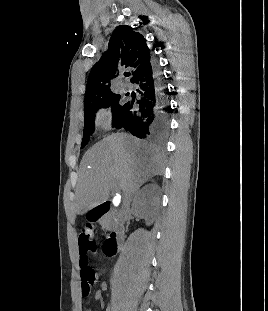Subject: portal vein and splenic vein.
<instances>
[{
    "label": "portal vein and splenic vein",
    "instance_id": "portal-vein-and-splenic-vein-1",
    "mask_svg": "<svg viewBox=\"0 0 268 311\" xmlns=\"http://www.w3.org/2000/svg\"><path fill=\"white\" fill-rule=\"evenodd\" d=\"M112 188L114 189V190H117L118 189V187H117V185L114 183V184H112ZM118 198H120V197H118Z\"/></svg>",
    "mask_w": 268,
    "mask_h": 311
}]
</instances>
